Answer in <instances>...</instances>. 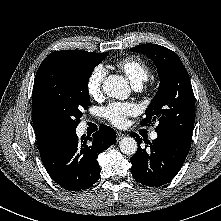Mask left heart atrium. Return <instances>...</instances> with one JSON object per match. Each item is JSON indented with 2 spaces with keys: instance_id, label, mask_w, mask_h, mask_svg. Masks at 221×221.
<instances>
[{
  "instance_id": "obj_1",
  "label": "left heart atrium",
  "mask_w": 221,
  "mask_h": 221,
  "mask_svg": "<svg viewBox=\"0 0 221 221\" xmlns=\"http://www.w3.org/2000/svg\"><path fill=\"white\" fill-rule=\"evenodd\" d=\"M137 106L132 102H111L102 108V116L115 126L126 124L128 117L137 114Z\"/></svg>"
}]
</instances>
